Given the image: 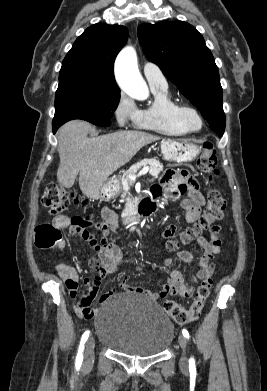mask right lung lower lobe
<instances>
[{
	"mask_svg": "<svg viewBox=\"0 0 267 391\" xmlns=\"http://www.w3.org/2000/svg\"><path fill=\"white\" fill-rule=\"evenodd\" d=\"M60 126H57V125H53V133L56 132V130L59 128Z\"/></svg>",
	"mask_w": 267,
	"mask_h": 391,
	"instance_id": "1",
	"label": "right lung lower lobe"
}]
</instances>
